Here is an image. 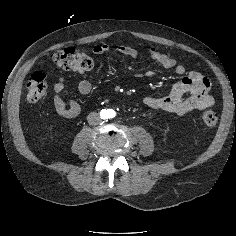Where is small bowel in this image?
I'll return each instance as SVG.
<instances>
[{"label": "small bowel", "instance_id": "obj_1", "mask_svg": "<svg viewBox=\"0 0 236 236\" xmlns=\"http://www.w3.org/2000/svg\"><path fill=\"white\" fill-rule=\"evenodd\" d=\"M110 48L109 44L101 43L93 47V53L95 55H103ZM116 50L132 59H137L140 56L139 50L126 45H118ZM145 51L159 66L165 69H173L176 74L181 76V79L173 85L169 94L164 96H146L143 99L145 106L155 110L166 111L177 116H184L214 105V98L209 94L210 81L201 73L197 71L187 72L185 67L177 64L174 58L160 52L152 45L147 46ZM154 75V70L136 73V77H153ZM65 86V78L59 77L54 84L55 95L53 102L56 112L61 117L70 119L80 113L81 107L76 100L62 95ZM77 87L78 91L83 95L90 93L92 90L91 83L86 79L79 81ZM185 93H190L191 96L184 99L183 95Z\"/></svg>", "mask_w": 236, "mask_h": 236}]
</instances>
